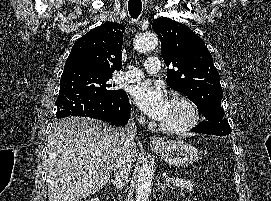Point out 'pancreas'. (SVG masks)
<instances>
[{"instance_id": "cf45deb5", "label": "pancreas", "mask_w": 271, "mask_h": 201, "mask_svg": "<svg viewBox=\"0 0 271 201\" xmlns=\"http://www.w3.org/2000/svg\"><path fill=\"white\" fill-rule=\"evenodd\" d=\"M172 186H177L180 187L182 191H193L194 190V185L191 181L184 180V179H176L172 182Z\"/></svg>"}]
</instances>
